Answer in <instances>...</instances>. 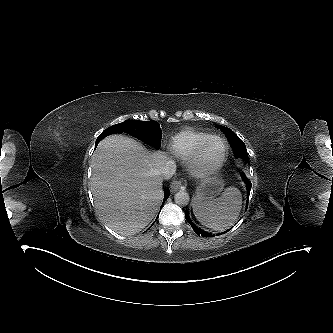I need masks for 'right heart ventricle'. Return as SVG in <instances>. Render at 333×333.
Instances as JSON below:
<instances>
[{"mask_svg":"<svg viewBox=\"0 0 333 333\" xmlns=\"http://www.w3.org/2000/svg\"><path fill=\"white\" fill-rule=\"evenodd\" d=\"M211 135L196 130H184L174 135L169 142L170 151L180 159L191 158L201 144Z\"/></svg>","mask_w":333,"mask_h":333,"instance_id":"1","label":"right heart ventricle"}]
</instances>
